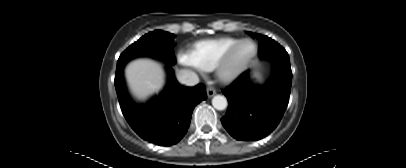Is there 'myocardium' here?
<instances>
[{"mask_svg": "<svg viewBox=\"0 0 406 168\" xmlns=\"http://www.w3.org/2000/svg\"><path fill=\"white\" fill-rule=\"evenodd\" d=\"M249 43L253 46V52L245 60L239 64H235L234 59L243 45ZM258 53L257 45L249 39L238 40L233 46H231L221 57L215 67V74L217 79L221 83H231L236 80L247 69L251 62L255 59Z\"/></svg>", "mask_w": 406, "mask_h": 168, "instance_id": "f54148a6", "label": "myocardium"}]
</instances>
